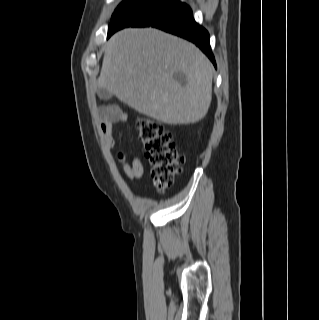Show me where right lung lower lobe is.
Masks as SVG:
<instances>
[{"mask_svg": "<svg viewBox=\"0 0 319 320\" xmlns=\"http://www.w3.org/2000/svg\"><path fill=\"white\" fill-rule=\"evenodd\" d=\"M131 26H153L183 37L196 44L216 66L210 47L209 33L195 22L190 7L180 1L168 9L146 16ZM119 29L108 31L107 37L109 38Z\"/></svg>", "mask_w": 319, "mask_h": 320, "instance_id": "obj_1", "label": "right lung lower lobe"}]
</instances>
